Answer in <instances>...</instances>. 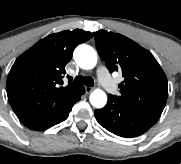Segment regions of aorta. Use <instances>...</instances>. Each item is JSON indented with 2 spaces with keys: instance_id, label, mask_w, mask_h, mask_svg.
Instances as JSON below:
<instances>
[{
  "instance_id": "aorta-1",
  "label": "aorta",
  "mask_w": 181,
  "mask_h": 164,
  "mask_svg": "<svg viewBox=\"0 0 181 164\" xmlns=\"http://www.w3.org/2000/svg\"><path fill=\"white\" fill-rule=\"evenodd\" d=\"M73 58L77 65L85 70L93 69L97 64V53L89 45H79L73 53ZM91 105L95 108H103L107 103V95L101 89H95L89 96Z\"/></svg>"
}]
</instances>
